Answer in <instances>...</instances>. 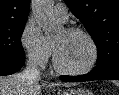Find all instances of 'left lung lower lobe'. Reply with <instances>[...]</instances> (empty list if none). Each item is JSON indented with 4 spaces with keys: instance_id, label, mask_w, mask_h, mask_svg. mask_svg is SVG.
Returning a JSON list of instances; mask_svg holds the SVG:
<instances>
[{
    "instance_id": "left-lung-lower-lobe-1",
    "label": "left lung lower lobe",
    "mask_w": 119,
    "mask_h": 95,
    "mask_svg": "<svg viewBox=\"0 0 119 95\" xmlns=\"http://www.w3.org/2000/svg\"><path fill=\"white\" fill-rule=\"evenodd\" d=\"M61 80L69 81V82H84V81H92V80H119V66L114 69L101 73L95 70H92L88 74L80 75V76H60Z\"/></svg>"
}]
</instances>
